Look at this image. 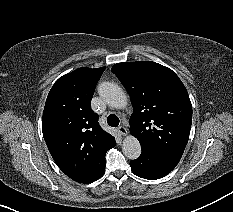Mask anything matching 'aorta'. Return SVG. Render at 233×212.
Wrapping results in <instances>:
<instances>
[{"mask_svg": "<svg viewBox=\"0 0 233 212\" xmlns=\"http://www.w3.org/2000/svg\"><path fill=\"white\" fill-rule=\"evenodd\" d=\"M101 98L111 107L122 109L127 105V97L124 91L115 83L103 82L98 86ZM123 154L131 159H137L141 154V145L138 139L132 135L126 136L122 142Z\"/></svg>", "mask_w": 233, "mask_h": 212, "instance_id": "obj_1", "label": "aorta"}]
</instances>
